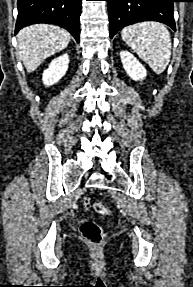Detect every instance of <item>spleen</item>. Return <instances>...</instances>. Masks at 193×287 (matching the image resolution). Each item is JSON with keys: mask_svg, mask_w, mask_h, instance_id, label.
Listing matches in <instances>:
<instances>
[{"mask_svg": "<svg viewBox=\"0 0 193 287\" xmlns=\"http://www.w3.org/2000/svg\"><path fill=\"white\" fill-rule=\"evenodd\" d=\"M125 43L157 74L167 67L171 57V37L158 22H141L122 29Z\"/></svg>", "mask_w": 193, "mask_h": 287, "instance_id": "1", "label": "spleen"}]
</instances>
